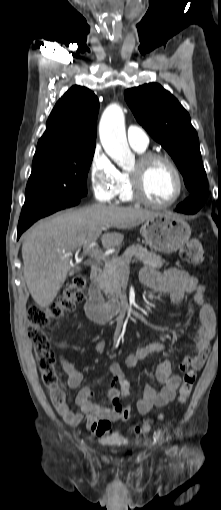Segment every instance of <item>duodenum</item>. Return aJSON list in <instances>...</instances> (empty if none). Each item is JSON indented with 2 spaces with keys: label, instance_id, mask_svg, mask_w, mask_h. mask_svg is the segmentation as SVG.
<instances>
[{
  "label": "duodenum",
  "instance_id": "obj_1",
  "mask_svg": "<svg viewBox=\"0 0 221 510\" xmlns=\"http://www.w3.org/2000/svg\"><path fill=\"white\" fill-rule=\"evenodd\" d=\"M102 268L93 265L90 271L91 284L88 288L84 310L87 317L94 323L104 324L117 314L121 313L124 306L117 300L106 303L100 290Z\"/></svg>",
  "mask_w": 221,
  "mask_h": 510
}]
</instances>
